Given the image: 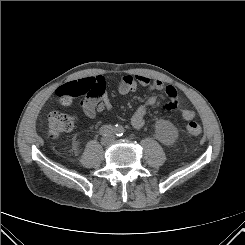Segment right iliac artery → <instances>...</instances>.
Instances as JSON below:
<instances>
[{"instance_id":"82829eb1","label":"right iliac artery","mask_w":245,"mask_h":245,"mask_svg":"<svg viewBox=\"0 0 245 245\" xmlns=\"http://www.w3.org/2000/svg\"><path fill=\"white\" fill-rule=\"evenodd\" d=\"M113 132L114 128L111 125H103L99 130L102 136H110Z\"/></svg>"}]
</instances>
